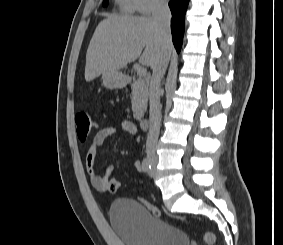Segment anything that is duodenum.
<instances>
[{"instance_id":"1","label":"duodenum","mask_w":283,"mask_h":245,"mask_svg":"<svg viewBox=\"0 0 283 245\" xmlns=\"http://www.w3.org/2000/svg\"><path fill=\"white\" fill-rule=\"evenodd\" d=\"M140 127L142 130H147L149 127V120L145 117L140 118Z\"/></svg>"}]
</instances>
